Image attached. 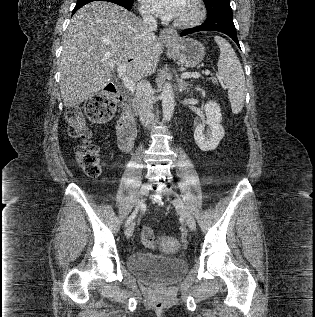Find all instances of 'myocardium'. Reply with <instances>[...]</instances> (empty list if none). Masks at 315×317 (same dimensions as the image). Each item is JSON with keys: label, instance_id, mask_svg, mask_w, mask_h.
I'll return each mask as SVG.
<instances>
[{"label": "myocardium", "instance_id": "1", "mask_svg": "<svg viewBox=\"0 0 315 317\" xmlns=\"http://www.w3.org/2000/svg\"><path fill=\"white\" fill-rule=\"evenodd\" d=\"M194 13L191 17L183 20H174V25L181 28L194 27L200 24L206 16V7L203 0H190Z\"/></svg>", "mask_w": 315, "mask_h": 317}]
</instances>
